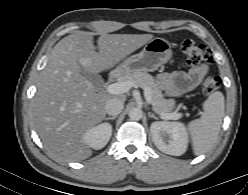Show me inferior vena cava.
<instances>
[{"label": "inferior vena cava", "mask_w": 248, "mask_h": 195, "mask_svg": "<svg viewBox=\"0 0 248 195\" xmlns=\"http://www.w3.org/2000/svg\"><path fill=\"white\" fill-rule=\"evenodd\" d=\"M124 107V102L118 98H112L107 101L105 111L111 116H116L121 113Z\"/></svg>", "instance_id": "inferior-vena-cava-1"}]
</instances>
